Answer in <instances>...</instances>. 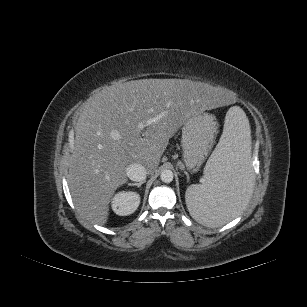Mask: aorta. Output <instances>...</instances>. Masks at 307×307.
<instances>
[{"mask_svg":"<svg viewBox=\"0 0 307 307\" xmlns=\"http://www.w3.org/2000/svg\"><path fill=\"white\" fill-rule=\"evenodd\" d=\"M173 177H174L173 172L169 169L163 170L161 172V175H160V178H161L162 182H164V183L172 182Z\"/></svg>","mask_w":307,"mask_h":307,"instance_id":"obj_1","label":"aorta"}]
</instances>
